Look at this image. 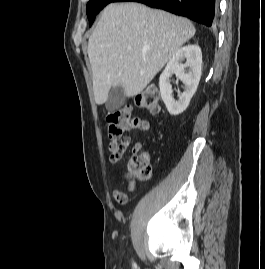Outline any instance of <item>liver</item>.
<instances>
[{
  "mask_svg": "<svg viewBox=\"0 0 265 269\" xmlns=\"http://www.w3.org/2000/svg\"><path fill=\"white\" fill-rule=\"evenodd\" d=\"M195 32L191 21L162 10L109 4L88 41L96 103H105L115 86L127 97L141 93Z\"/></svg>",
  "mask_w": 265,
  "mask_h": 269,
  "instance_id": "liver-1",
  "label": "liver"
}]
</instances>
